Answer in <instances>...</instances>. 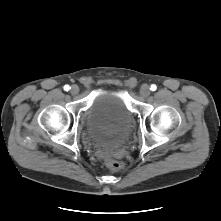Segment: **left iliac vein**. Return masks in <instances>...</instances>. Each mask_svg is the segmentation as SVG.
Returning <instances> with one entry per match:
<instances>
[{
  "label": "left iliac vein",
  "instance_id": "4c4485c4",
  "mask_svg": "<svg viewBox=\"0 0 221 221\" xmlns=\"http://www.w3.org/2000/svg\"><path fill=\"white\" fill-rule=\"evenodd\" d=\"M149 94H150L149 86L146 85V84L142 85L141 88H140V95L142 97H147V96H149Z\"/></svg>",
  "mask_w": 221,
  "mask_h": 221
}]
</instances>
